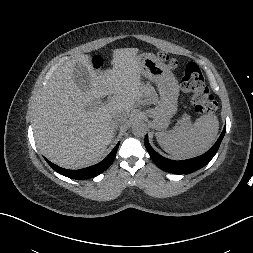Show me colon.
Listing matches in <instances>:
<instances>
[{
	"instance_id": "colon-1",
	"label": "colon",
	"mask_w": 253,
	"mask_h": 253,
	"mask_svg": "<svg viewBox=\"0 0 253 253\" xmlns=\"http://www.w3.org/2000/svg\"><path fill=\"white\" fill-rule=\"evenodd\" d=\"M159 58L166 62L171 68L177 67V61L168 54L161 52L159 53ZM94 64L96 66H101L102 60L96 59ZM181 86L183 90L192 94V105L197 113L209 114L216 111L217 101L207 88L204 75L196 63L189 62L186 65Z\"/></svg>"
}]
</instances>
